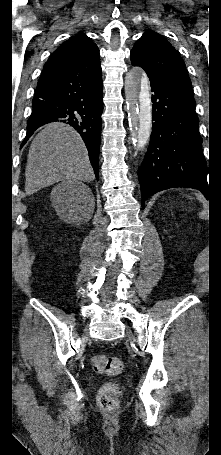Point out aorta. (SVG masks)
I'll list each match as a JSON object with an SVG mask.
<instances>
[{"label":"aorta","mask_w":221,"mask_h":455,"mask_svg":"<svg viewBox=\"0 0 221 455\" xmlns=\"http://www.w3.org/2000/svg\"><path fill=\"white\" fill-rule=\"evenodd\" d=\"M124 86L132 143L143 149L152 131L151 96L144 70L132 68L125 76Z\"/></svg>","instance_id":"1"}]
</instances>
